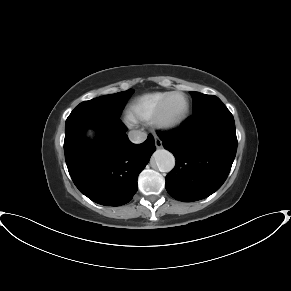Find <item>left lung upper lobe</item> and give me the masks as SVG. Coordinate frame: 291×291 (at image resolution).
<instances>
[{
    "label": "left lung upper lobe",
    "mask_w": 291,
    "mask_h": 291,
    "mask_svg": "<svg viewBox=\"0 0 291 291\" xmlns=\"http://www.w3.org/2000/svg\"><path fill=\"white\" fill-rule=\"evenodd\" d=\"M193 98L194 115L199 114L209 108L222 104V101L214 95H206L199 92H190Z\"/></svg>",
    "instance_id": "left-lung-upper-lobe-1"
}]
</instances>
